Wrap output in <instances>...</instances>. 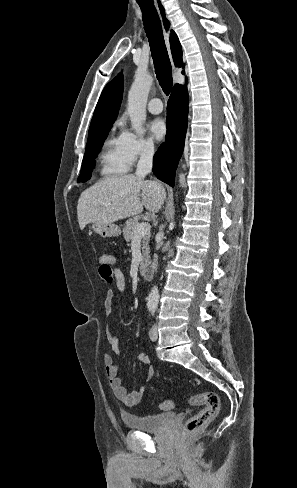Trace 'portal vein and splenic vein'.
I'll use <instances>...</instances> for the list:
<instances>
[{"mask_svg": "<svg viewBox=\"0 0 297 488\" xmlns=\"http://www.w3.org/2000/svg\"><path fill=\"white\" fill-rule=\"evenodd\" d=\"M150 224L147 222L139 223L135 226L133 240L142 238L150 231Z\"/></svg>", "mask_w": 297, "mask_h": 488, "instance_id": "18ae733b", "label": "portal vein and splenic vein"}]
</instances>
